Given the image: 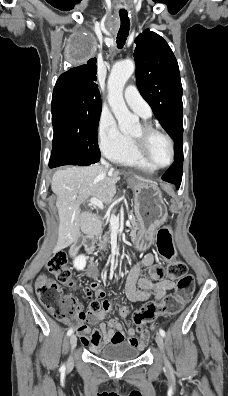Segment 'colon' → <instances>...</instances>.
Masks as SVG:
<instances>
[{
  "label": "colon",
  "instance_id": "colon-1",
  "mask_svg": "<svg viewBox=\"0 0 228 396\" xmlns=\"http://www.w3.org/2000/svg\"><path fill=\"white\" fill-rule=\"evenodd\" d=\"M159 254L169 261L167 266L168 276L177 280L175 293L163 299L160 304L148 303L134 313V323L140 327L153 321L158 316L173 315L179 313L183 306L190 300L194 289L195 279L188 273L187 265L175 259V248L170 226L159 229L156 238ZM48 270L55 276L56 281L45 275H40L36 281V294L42 304L51 314L62 322L73 324L78 327L79 321L84 316L79 311L78 301L71 295H66L59 284L76 287L68 257L65 252L55 253L48 262ZM102 309V303L91 301L88 312L98 313Z\"/></svg>",
  "mask_w": 228,
  "mask_h": 396
}]
</instances>
